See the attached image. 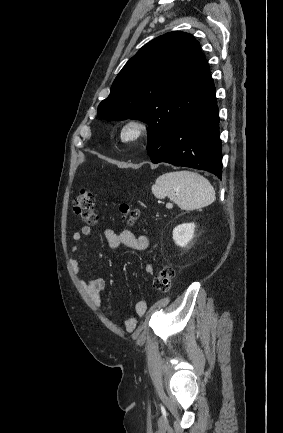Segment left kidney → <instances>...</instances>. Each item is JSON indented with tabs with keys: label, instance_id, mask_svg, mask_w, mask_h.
Here are the masks:
<instances>
[{
	"label": "left kidney",
	"instance_id": "obj_1",
	"mask_svg": "<svg viewBox=\"0 0 283 433\" xmlns=\"http://www.w3.org/2000/svg\"><path fill=\"white\" fill-rule=\"evenodd\" d=\"M195 231L194 223H184L173 229V240L180 247H185L193 238Z\"/></svg>",
	"mask_w": 283,
	"mask_h": 433
}]
</instances>
